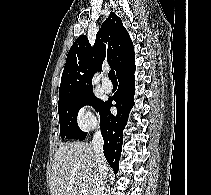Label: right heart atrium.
<instances>
[{
    "label": "right heart atrium",
    "instance_id": "1",
    "mask_svg": "<svg viewBox=\"0 0 211 195\" xmlns=\"http://www.w3.org/2000/svg\"><path fill=\"white\" fill-rule=\"evenodd\" d=\"M76 122L82 131H90L97 127V118L89 104H84L78 109Z\"/></svg>",
    "mask_w": 211,
    "mask_h": 195
}]
</instances>
